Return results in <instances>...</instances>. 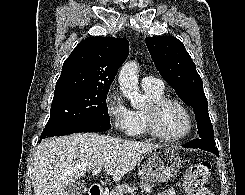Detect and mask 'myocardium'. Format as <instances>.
<instances>
[{"label": "myocardium", "mask_w": 245, "mask_h": 195, "mask_svg": "<svg viewBox=\"0 0 245 195\" xmlns=\"http://www.w3.org/2000/svg\"><path fill=\"white\" fill-rule=\"evenodd\" d=\"M170 104H175V105H178L180 108H182L188 120V125H187L186 130L182 134L178 136H172V137L163 134L158 129V126H157V119H158L159 113L167 105H170ZM144 117H145V131L152 137L158 140L164 141V142L181 141L191 134L193 127H194V118H193L191 111L181 100H178L175 98L163 97L154 102H151L148 105V107L144 110Z\"/></svg>", "instance_id": "1"}]
</instances>
